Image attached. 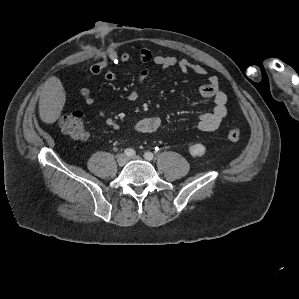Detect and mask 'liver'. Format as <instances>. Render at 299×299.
Segmentation results:
<instances>
[{
    "mask_svg": "<svg viewBox=\"0 0 299 299\" xmlns=\"http://www.w3.org/2000/svg\"><path fill=\"white\" fill-rule=\"evenodd\" d=\"M66 101V93L60 79L48 78L39 99V115L44 123L52 124L58 120Z\"/></svg>",
    "mask_w": 299,
    "mask_h": 299,
    "instance_id": "6515ba94",
    "label": "liver"
}]
</instances>
